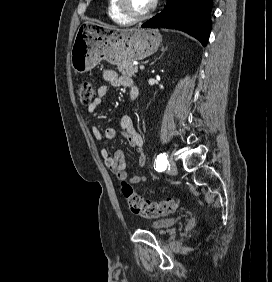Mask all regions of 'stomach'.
Masks as SVG:
<instances>
[{
  "label": "stomach",
  "mask_w": 272,
  "mask_h": 282,
  "mask_svg": "<svg viewBox=\"0 0 272 282\" xmlns=\"http://www.w3.org/2000/svg\"><path fill=\"white\" fill-rule=\"evenodd\" d=\"M161 42L162 36L155 29L84 23L71 47V66L76 73H85L102 60L113 65L131 63L155 53Z\"/></svg>",
  "instance_id": "obj_1"
}]
</instances>
